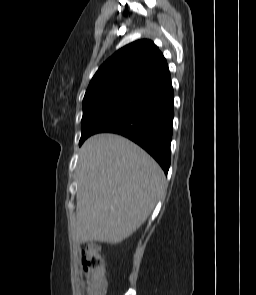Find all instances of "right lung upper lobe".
I'll return each instance as SVG.
<instances>
[{"mask_svg": "<svg viewBox=\"0 0 256 295\" xmlns=\"http://www.w3.org/2000/svg\"><path fill=\"white\" fill-rule=\"evenodd\" d=\"M168 71L166 59L152 41H135L100 66L88 86L83 107L115 96L137 95Z\"/></svg>", "mask_w": 256, "mask_h": 295, "instance_id": "cb5924a9", "label": "right lung upper lobe"}]
</instances>
